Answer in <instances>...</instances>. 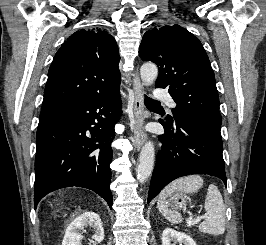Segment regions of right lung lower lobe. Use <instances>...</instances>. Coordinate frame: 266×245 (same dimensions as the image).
<instances>
[{
    "label": "right lung lower lobe",
    "mask_w": 266,
    "mask_h": 245,
    "mask_svg": "<svg viewBox=\"0 0 266 245\" xmlns=\"http://www.w3.org/2000/svg\"><path fill=\"white\" fill-rule=\"evenodd\" d=\"M120 105L117 90L69 104L40 119L36 135L35 209L48 193L72 186L93 190L112 208L109 164Z\"/></svg>",
    "instance_id": "right-lung-lower-lobe-1"
}]
</instances>
